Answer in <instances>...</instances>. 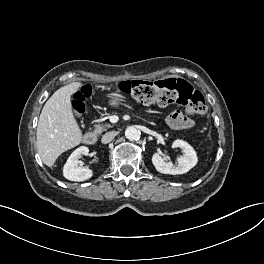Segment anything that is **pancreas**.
I'll return each mask as SVG.
<instances>
[{
    "mask_svg": "<svg viewBox=\"0 0 264 264\" xmlns=\"http://www.w3.org/2000/svg\"><path fill=\"white\" fill-rule=\"evenodd\" d=\"M112 125L105 123V124H97L95 125V130L94 133L95 134H101L102 132L106 131L107 129L111 128Z\"/></svg>",
    "mask_w": 264,
    "mask_h": 264,
    "instance_id": "cf45deb5",
    "label": "pancreas"
}]
</instances>
